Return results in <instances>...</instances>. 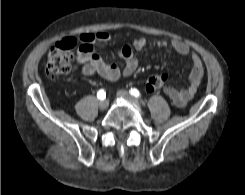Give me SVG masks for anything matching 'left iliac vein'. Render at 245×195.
Masks as SVG:
<instances>
[{
    "label": "left iliac vein",
    "instance_id": "obj_1",
    "mask_svg": "<svg viewBox=\"0 0 245 195\" xmlns=\"http://www.w3.org/2000/svg\"><path fill=\"white\" fill-rule=\"evenodd\" d=\"M117 96L120 97V98H123V99L127 100L128 102L132 103L134 106H136L137 108H139L138 101L133 96H131L127 91H125V90H119L117 92Z\"/></svg>",
    "mask_w": 245,
    "mask_h": 195
}]
</instances>
